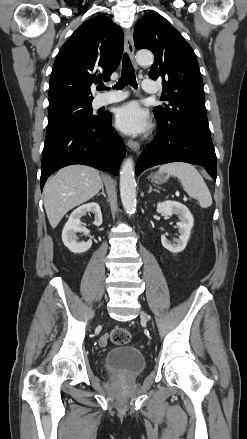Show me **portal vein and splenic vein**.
I'll return each mask as SVG.
<instances>
[{
	"instance_id": "18ae733b",
	"label": "portal vein and splenic vein",
	"mask_w": 247,
	"mask_h": 439,
	"mask_svg": "<svg viewBox=\"0 0 247 439\" xmlns=\"http://www.w3.org/2000/svg\"><path fill=\"white\" fill-rule=\"evenodd\" d=\"M184 201H187V197H184Z\"/></svg>"
}]
</instances>
